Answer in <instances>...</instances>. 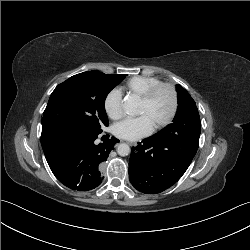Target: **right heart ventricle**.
Returning a JSON list of instances; mask_svg holds the SVG:
<instances>
[{
  "instance_id": "1",
  "label": "right heart ventricle",
  "mask_w": 250,
  "mask_h": 250,
  "mask_svg": "<svg viewBox=\"0 0 250 250\" xmlns=\"http://www.w3.org/2000/svg\"><path fill=\"white\" fill-rule=\"evenodd\" d=\"M161 83V81L152 76H133L123 83L121 90L134 94L138 97L143 95L151 87Z\"/></svg>"
}]
</instances>
